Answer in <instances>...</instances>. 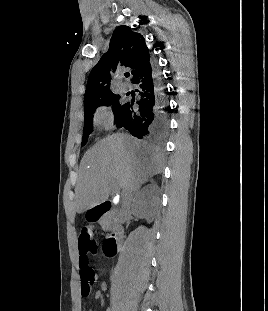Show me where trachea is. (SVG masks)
I'll use <instances>...</instances> for the list:
<instances>
[{
  "label": "trachea",
  "instance_id": "1",
  "mask_svg": "<svg viewBox=\"0 0 268 311\" xmlns=\"http://www.w3.org/2000/svg\"><path fill=\"white\" fill-rule=\"evenodd\" d=\"M129 75H130L129 73H125V77H129Z\"/></svg>",
  "mask_w": 268,
  "mask_h": 311
}]
</instances>
